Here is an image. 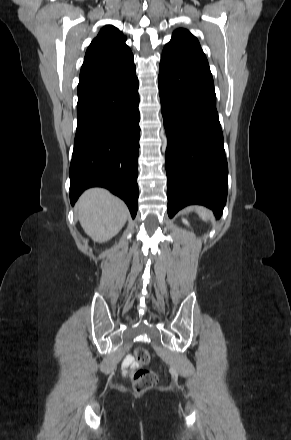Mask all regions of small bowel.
<instances>
[{
    "label": "small bowel",
    "mask_w": 291,
    "mask_h": 440,
    "mask_svg": "<svg viewBox=\"0 0 291 440\" xmlns=\"http://www.w3.org/2000/svg\"><path fill=\"white\" fill-rule=\"evenodd\" d=\"M124 370L135 369L137 363L132 355H127L122 362Z\"/></svg>",
    "instance_id": "1"
}]
</instances>
